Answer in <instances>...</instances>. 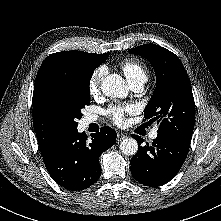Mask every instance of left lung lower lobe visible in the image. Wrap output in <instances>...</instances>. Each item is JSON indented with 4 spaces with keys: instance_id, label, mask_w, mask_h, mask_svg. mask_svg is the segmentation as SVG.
<instances>
[{
    "instance_id": "left-lung-lower-lobe-1",
    "label": "left lung lower lobe",
    "mask_w": 221,
    "mask_h": 221,
    "mask_svg": "<svg viewBox=\"0 0 221 221\" xmlns=\"http://www.w3.org/2000/svg\"><path fill=\"white\" fill-rule=\"evenodd\" d=\"M133 137L139 144L131 158V173L141 184L162 186L172 180L180 170L189 150V142L165 134H158L152 144L141 146L143 139Z\"/></svg>"
}]
</instances>
